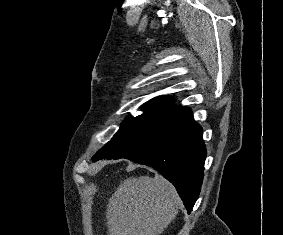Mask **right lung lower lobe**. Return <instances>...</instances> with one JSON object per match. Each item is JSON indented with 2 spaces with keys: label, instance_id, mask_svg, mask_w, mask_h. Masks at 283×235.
Here are the masks:
<instances>
[{
  "label": "right lung lower lobe",
  "instance_id": "right-lung-lower-lobe-1",
  "mask_svg": "<svg viewBox=\"0 0 283 235\" xmlns=\"http://www.w3.org/2000/svg\"><path fill=\"white\" fill-rule=\"evenodd\" d=\"M126 158L159 171L176 187L190 213L199 196L206 158L202 129L191 111L163 138Z\"/></svg>",
  "mask_w": 283,
  "mask_h": 235
}]
</instances>
